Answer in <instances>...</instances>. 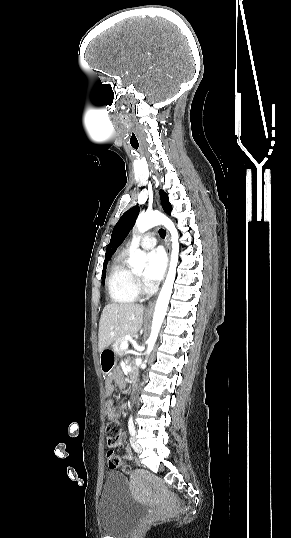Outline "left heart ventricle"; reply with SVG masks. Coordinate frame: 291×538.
Here are the masks:
<instances>
[{"instance_id":"1","label":"left heart ventricle","mask_w":291,"mask_h":538,"mask_svg":"<svg viewBox=\"0 0 291 538\" xmlns=\"http://www.w3.org/2000/svg\"><path fill=\"white\" fill-rule=\"evenodd\" d=\"M139 277H142L143 274H144V271L141 269V270H136L135 272Z\"/></svg>"}]
</instances>
